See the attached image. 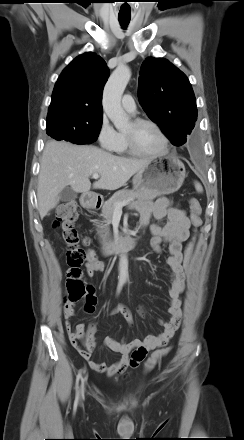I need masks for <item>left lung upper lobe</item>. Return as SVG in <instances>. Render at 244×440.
<instances>
[{"instance_id": "5c2ea615", "label": "left lung upper lobe", "mask_w": 244, "mask_h": 440, "mask_svg": "<svg viewBox=\"0 0 244 440\" xmlns=\"http://www.w3.org/2000/svg\"><path fill=\"white\" fill-rule=\"evenodd\" d=\"M138 98L163 134L181 146L197 120L195 96L186 75L163 58H147L140 70Z\"/></svg>"}]
</instances>
